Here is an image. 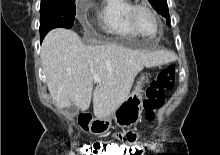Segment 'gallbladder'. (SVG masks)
<instances>
[{"label": "gallbladder", "instance_id": "bac80fb5", "mask_svg": "<svg viewBox=\"0 0 220 155\" xmlns=\"http://www.w3.org/2000/svg\"><path fill=\"white\" fill-rule=\"evenodd\" d=\"M78 110L79 109L76 106H73L70 108L69 113L70 115L75 116L78 113Z\"/></svg>", "mask_w": 220, "mask_h": 155}]
</instances>
